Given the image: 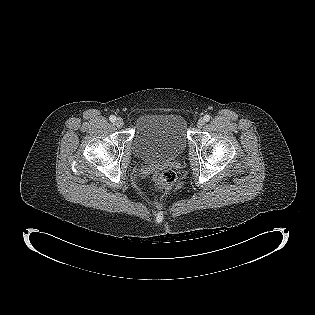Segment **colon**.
Wrapping results in <instances>:
<instances>
[{"instance_id":"obj_1","label":"colon","mask_w":315,"mask_h":315,"mask_svg":"<svg viewBox=\"0 0 315 315\" xmlns=\"http://www.w3.org/2000/svg\"><path fill=\"white\" fill-rule=\"evenodd\" d=\"M176 182V174L172 170H164L154 179V186L162 193H168Z\"/></svg>"}]
</instances>
